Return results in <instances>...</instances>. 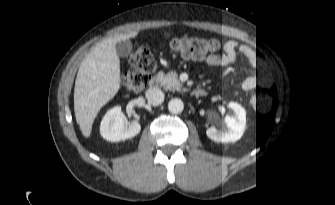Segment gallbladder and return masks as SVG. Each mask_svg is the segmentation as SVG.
<instances>
[{
  "mask_svg": "<svg viewBox=\"0 0 335 205\" xmlns=\"http://www.w3.org/2000/svg\"><path fill=\"white\" fill-rule=\"evenodd\" d=\"M131 50L132 45L129 42H120L116 44V52L122 57L129 55Z\"/></svg>",
  "mask_w": 335,
  "mask_h": 205,
  "instance_id": "bac80fb5",
  "label": "gallbladder"
}]
</instances>
